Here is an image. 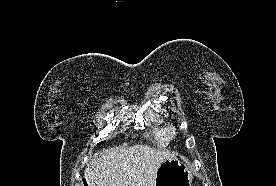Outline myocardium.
Listing matches in <instances>:
<instances>
[{
  "instance_id": "f54148a6",
  "label": "myocardium",
  "mask_w": 276,
  "mask_h": 186,
  "mask_svg": "<svg viewBox=\"0 0 276 186\" xmlns=\"http://www.w3.org/2000/svg\"><path fill=\"white\" fill-rule=\"evenodd\" d=\"M165 132H166V135L169 139H173L177 134L176 128L174 126H171V125H169L165 128Z\"/></svg>"
}]
</instances>
